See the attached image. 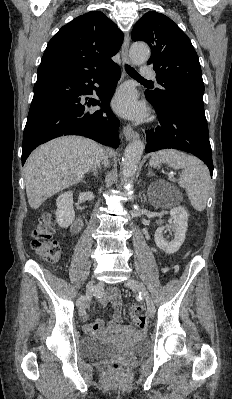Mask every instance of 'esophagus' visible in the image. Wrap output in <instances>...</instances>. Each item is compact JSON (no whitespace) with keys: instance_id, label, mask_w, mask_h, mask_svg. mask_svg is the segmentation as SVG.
I'll return each mask as SVG.
<instances>
[{"instance_id":"obj_1","label":"esophagus","mask_w":232,"mask_h":399,"mask_svg":"<svg viewBox=\"0 0 232 399\" xmlns=\"http://www.w3.org/2000/svg\"><path fill=\"white\" fill-rule=\"evenodd\" d=\"M130 44V36L127 32L125 34L124 42L121 48V57L124 64H130L128 49ZM123 134L127 140H133L139 138V134L133 130L130 125H125L123 128Z\"/></svg>"}]
</instances>
